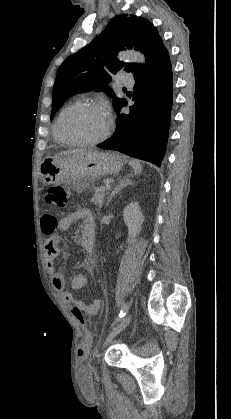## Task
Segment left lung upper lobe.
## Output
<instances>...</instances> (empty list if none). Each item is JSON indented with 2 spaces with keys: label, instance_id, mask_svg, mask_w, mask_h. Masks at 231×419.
Segmentation results:
<instances>
[{
  "label": "left lung upper lobe",
  "instance_id": "5c2ea615",
  "mask_svg": "<svg viewBox=\"0 0 231 419\" xmlns=\"http://www.w3.org/2000/svg\"><path fill=\"white\" fill-rule=\"evenodd\" d=\"M135 49L146 57L145 64L124 63L116 58L119 51ZM167 51L156 27L147 19L121 14L112 18L105 30L90 44L69 56L59 67L53 88L51 118L63 102L74 94L104 90L114 97L106 84L125 70L138 76ZM124 99L115 97V110Z\"/></svg>",
  "mask_w": 231,
  "mask_h": 419
}]
</instances>
